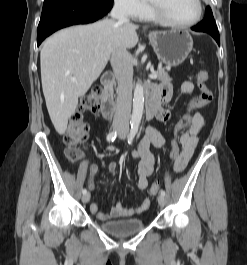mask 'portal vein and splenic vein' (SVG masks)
I'll return each mask as SVG.
<instances>
[{
  "label": "portal vein and splenic vein",
  "instance_id": "1",
  "mask_svg": "<svg viewBox=\"0 0 247 265\" xmlns=\"http://www.w3.org/2000/svg\"><path fill=\"white\" fill-rule=\"evenodd\" d=\"M149 77H150L151 79H156V78H157V74H156V73H153V74L149 75Z\"/></svg>",
  "mask_w": 247,
  "mask_h": 265
}]
</instances>
